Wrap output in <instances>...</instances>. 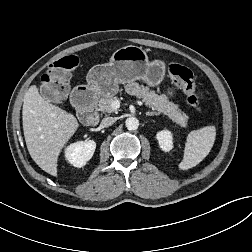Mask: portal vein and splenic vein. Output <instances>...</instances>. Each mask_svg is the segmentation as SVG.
Here are the masks:
<instances>
[{"label":"portal vein and splenic vein","instance_id":"obj_1","mask_svg":"<svg viewBox=\"0 0 252 252\" xmlns=\"http://www.w3.org/2000/svg\"><path fill=\"white\" fill-rule=\"evenodd\" d=\"M111 106H112L113 110H117L120 107V102L118 100L113 101Z\"/></svg>","mask_w":252,"mask_h":252}]
</instances>
